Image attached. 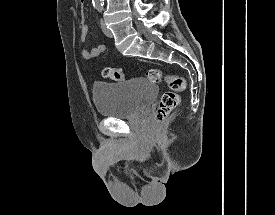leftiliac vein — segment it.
Segmentation results:
<instances>
[{"instance_id": "obj_1", "label": "left iliac vein", "mask_w": 275, "mask_h": 215, "mask_svg": "<svg viewBox=\"0 0 275 215\" xmlns=\"http://www.w3.org/2000/svg\"><path fill=\"white\" fill-rule=\"evenodd\" d=\"M101 28L104 34L108 37H112L111 30L106 26V23L104 21L101 22Z\"/></svg>"}]
</instances>
